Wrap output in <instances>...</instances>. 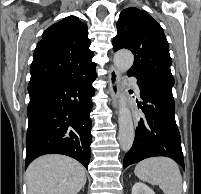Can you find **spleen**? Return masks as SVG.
<instances>
[{"mask_svg":"<svg viewBox=\"0 0 201 194\" xmlns=\"http://www.w3.org/2000/svg\"><path fill=\"white\" fill-rule=\"evenodd\" d=\"M134 173L140 180L158 185L164 194H182V176L172 159H145L136 165Z\"/></svg>","mask_w":201,"mask_h":194,"instance_id":"obj_1","label":"spleen"}]
</instances>
